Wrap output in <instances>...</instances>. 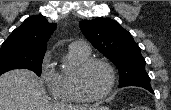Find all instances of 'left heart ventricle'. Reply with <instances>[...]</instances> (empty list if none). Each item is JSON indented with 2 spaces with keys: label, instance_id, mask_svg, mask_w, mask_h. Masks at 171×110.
<instances>
[{
  "label": "left heart ventricle",
  "instance_id": "b2bd125f",
  "mask_svg": "<svg viewBox=\"0 0 171 110\" xmlns=\"http://www.w3.org/2000/svg\"><path fill=\"white\" fill-rule=\"evenodd\" d=\"M109 83V72L101 64L92 65L83 77L84 88L92 96L103 93L108 88Z\"/></svg>",
  "mask_w": 171,
  "mask_h": 110
}]
</instances>
